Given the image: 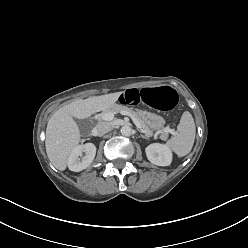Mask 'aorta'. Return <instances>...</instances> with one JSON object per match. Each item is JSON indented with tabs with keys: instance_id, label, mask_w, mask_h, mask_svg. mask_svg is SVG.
<instances>
[{
	"instance_id": "aorta-1",
	"label": "aorta",
	"mask_w": 248,
	"mask_h": 248,
	"mask_svg": "<svg viewBox=\"0 0 248 248\" xmlns=\"http://www.w3.org/2000/svg\"><path fill=\"white\" fill-rule=\"evenodd\" d=\"M132 128L128 125L121 127V134L124 136H130L132 134Z\"/></svg>"
}]
</instances>
